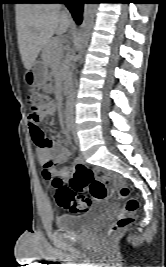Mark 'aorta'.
<instances>
[{"instance_id":"obj_1","label":"aorta","mask_w":166,"mask_h":267,"mask_svg":"<svg viewBox=\"0 0 166 267\" xmlns=\"http://www.w3.org/2000/svg\"><path fill=\"white\" fill-rule=\"evenodd\" d=\"M96 3H85L84 4V9H83V21L81 24V42L83 45H85L90 36V31L93 27L94 24V17L96 13ZM75 80H72L70 82V89L68 92L69 95V105L72 104L73 98H74V88H75Z\"/></svg>"}]
</instances>
